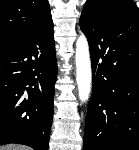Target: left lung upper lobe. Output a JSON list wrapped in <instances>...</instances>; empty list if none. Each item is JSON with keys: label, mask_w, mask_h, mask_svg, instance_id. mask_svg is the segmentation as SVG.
I'll use <instances>...</instances> for the list:
<instances>
[{"label": "left lung upper lobe", "mask_w": 139, "mask_h": 150, "mask_svg": "<svg viewBox=\"0 0 139 150\" xmlns=\"http://www.w3.org/2000/svg\"><path fill=\"white\" fill-rule=\"evenodd\" d=\"M129 6L137 8L131 0H87L84 9L98 10L99 12L106 13Z\"/></svg>", "instance_id": "left-lung-upper-lobe-1"}]
</instances>
